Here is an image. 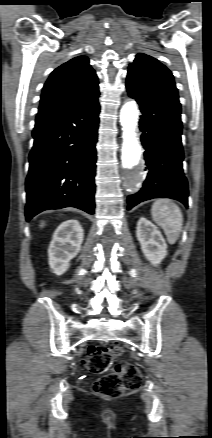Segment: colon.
I'll return each instance as SVG.
<instances>
[{"label":"colon","mask_w":212,"mask_h":438,"mask_svg":"<svg viewBox=\"0 0 212 438\" xmlns=\"http://www.w3.org/2000/svg\"><path fill=\"white\" fill-rule=\"evenodd\" d=\"M122 355L123 350L116 343L89 348L83 364L89 372L102 374L92 386L96 394L114 398L140 386L141 373L134 365L125 362L113 366Z\"/></svg>","instance_id":"5ec220e1"}]
</instances>
